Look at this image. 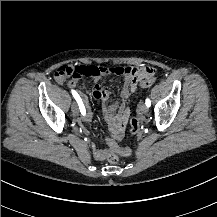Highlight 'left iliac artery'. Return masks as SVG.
I'll return each instance as SVG.
<instances>
[{"instance_id":"obj_1","label":"left iliac artery","mask_w":217,"mask_h":217,"mask_svg":"<svg viewBox=\"0 0 217 217\" xmlns=\"http://www.w3.org/2000/svg\"><path fill=\"white\" fill-rule=\"evenodd\" d=\"M145 104H146L147 107H150L151 106L150 99L147 98L146 101H145Z\"/></svg>"}]
</instances>
